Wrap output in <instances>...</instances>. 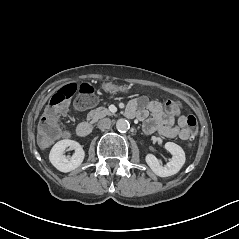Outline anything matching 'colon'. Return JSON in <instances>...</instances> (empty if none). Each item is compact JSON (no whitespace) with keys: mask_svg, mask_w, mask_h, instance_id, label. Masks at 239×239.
Masks as SVG:
<instances>
[{"mask_svg":"<svg viewBox=\"0 0 239 239\" xmlns=\"http://www.w3.org/2000/svg\"><path fill=\"white\" fill-rule=\"evenodd\" d=\"M76 93L78 96L75 104L79 109L89 107L96 102L94 89L88 83H82L80 85L69 83L59 88L49 99L40 121L39 137L42 144H49L59 135L61 130L59 116L65 110L69 99ZM165 109L169 115L175 116L181 111V103L177 100H168L165 103ZM186 125L189 133L195 135L198 129L196 118L192 115L188 116ZM188 147L191 148L192 143H189Z\"/></svg>","mask_w":239,"mask_h":239,"instance_id":"colon-1","label":"colon"}]
</instances>
